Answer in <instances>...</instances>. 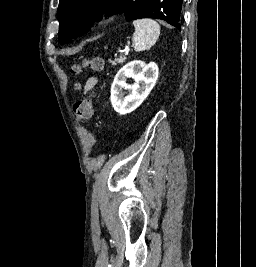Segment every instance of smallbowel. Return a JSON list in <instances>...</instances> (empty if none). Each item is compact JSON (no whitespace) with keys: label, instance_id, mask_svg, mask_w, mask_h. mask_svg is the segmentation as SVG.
Instances as JSON below:
<instances>
[{"label":"small bowel","instance_id":"1","mask_svg":"<svg viewBox=\"0 0 256 267\" xmlns=\"http://www.w3.org/2000/svg\"><path fill=\"white\" fill-rule=\"evenodd\" d=\"M98 83V79L96 77H90L84 86V93H88L90 90H92Z\"/></svg>","mask_w":256,"mask_h":267}]
</instances>
